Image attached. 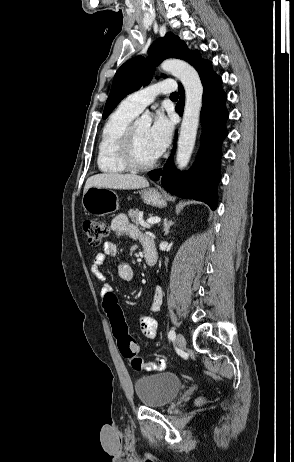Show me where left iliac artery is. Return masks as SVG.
Wrapping results in <instances>:
<instances>
[{
    "instance_id": "obj_1",
    "label": "left iliac artery",
    "mask_w": 294,
    "mask_h": 462,
    "mask_svg": "<svg viewBox=\"0 0 294 462\" xmlns=\"http://www.w3.org/2000/svg\"><path fill=\"white\" fill-rule=\"evenodd\" d=\"M175 337H176L175 331H174L173 329L170 330L169 333H168V338H169L170 340H174Z\"/></svg>"
}]
</instances>
